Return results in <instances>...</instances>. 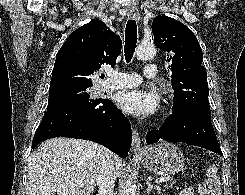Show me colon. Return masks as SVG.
I'll return each mask as SVG.
<instances>
[{
    "instance_id": "1",
    "label": "colon",
    "mask_w": 245,
    "mask_h": 195,
    "mask_svg": "<svg viewBox=\"0 0 245 195\" xmlns=\"http://www.w3.org/2000/svg\"><path fill=\"white\" fill-rule=\"evenodd\" d=\"M200 195H220V180L210 172L205 173L204 181L199 187Z\"/></svg>"
}]
</instances>
